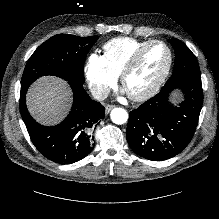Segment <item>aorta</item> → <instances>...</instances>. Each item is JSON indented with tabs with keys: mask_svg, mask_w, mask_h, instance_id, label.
I'll return each instance as SVG.
<instances>
[{
	"mask_svg": "<svg viewBox=\"0 0 219 219\" xmlns=\"http://www.w3.org/2000/svg\"><path fill=\"white\" fill-rule=\"evenodd\" d=\"M110 117L113 123L121 125L128 120V113L123 108H115L111 111Z\"/></svg>",
	"mask_w": 219,
	"mask_h": 219,
	"instance_id": "762f6f07",
	"label": "aorta"
}]
</instances>
